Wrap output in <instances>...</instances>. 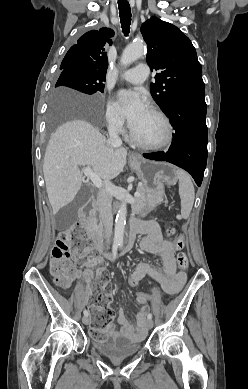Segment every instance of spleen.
Returning <instances> with one entry per match:
<instances>
[{
  "mask_svg": "<svg viewBox=\"0 0 248 389\" xmlns=\"http://www.w3.org/2000/svg\"><path fill=\"white\" fill-rule=\"evenodd\" d=\"M179 180V196L181 199V216L188 218L194 203L195 190L190 176L183 170H176Z\"/></svg>",
  "mask_w": 248,
  "mask_h": 389,
  "instance_id": "spleen-1",
  "label": "spleen"
}]
</instances>
